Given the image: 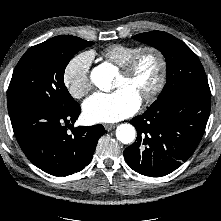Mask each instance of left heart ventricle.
Masks as SVG:
<instances>
[{
    "mask_svg": "<svg viewBox=\"0 0 221 221\" xmlns=\"http://www.w3.org/2000/svg\"><path fill=\"white\" fill-rule=\"evenodd\" d=\"M158 74V59L154 54L147 53L140 58L131 76L125 77L119 74L116 87H127L141 99L154 86Z\"/></svg>",
    "mask_w": 221,
    "mask_h": 221,
    "instance_id": "obj_1",
    "label": "left heart ventricle"
}]
</instances>
